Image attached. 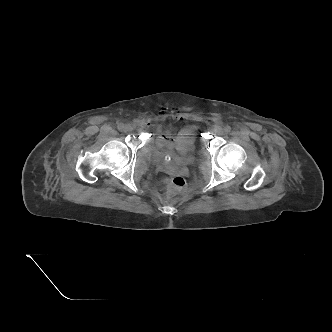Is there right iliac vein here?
Wrapping results in <instances>:
<instances>
[{
    "mask_svg": "<svg viewBox=\"0 0 332 332\" xmlns=\"http://www.w3.org/2000/svg\"><path fill=\"white\" fill-rule=\"evenodd\" d=\"M133 130V127L130 125V124H126L124 127H123V131L124 132H131Z\"/></svg>",
    "mask_w": 332,
    "mask_h": 332,
    "instance_id": "right-iliac-vein-1",
    "label": "right iliac vein"
}]
</instances>
